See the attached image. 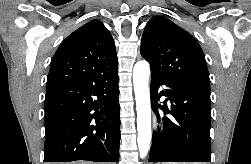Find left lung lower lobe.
<instances>
[{"instance_id": "1", "label": "left lung lower lobe", "mask_w": 251, "mask_h": 164, "mask_svg": "<svg viewBox=\"0 0 251 164\" xmlns=\"http://www.w3.org/2000/svg\"><path fill=\"white\" fill-rule=\"evenodd\" d=\"M162 85L167 89L159 93ZM150 90L158 121V108L165 114L163 130L153 133L149 162H211L210 90L156 71H151ZM161 96L167 97L163 105L158 104Z\"/></svg>"}]
</instances>
